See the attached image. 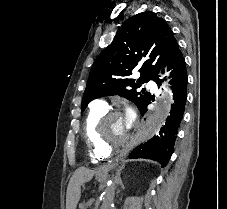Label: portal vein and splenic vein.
Segmentation results:
<instances>
[{"label": "portal vein and splenic vein", "mask_w": 227, "mask_h": 209, "mask_svg": "<svg viewBox=\"0 0 227 209\" xmlns=\"http://www.w3.org/2000/svg\"><path fill=\"white\" fill-rule=\"evenodd\" d=\"M94 200H95V199L92 197L91 199L88 200V203H87V204H88V205H89V204H92Z\"/></svg>", "instance_id": "obj_1"}]
</instances>
